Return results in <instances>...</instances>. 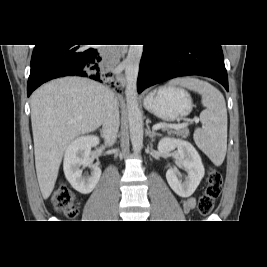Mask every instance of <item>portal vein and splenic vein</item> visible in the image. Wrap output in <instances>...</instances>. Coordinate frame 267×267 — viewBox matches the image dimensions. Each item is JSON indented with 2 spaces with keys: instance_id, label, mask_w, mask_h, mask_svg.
Wrapping results in <instances>:
<instances>
[{
  "instance_id": "1",
  "label": "portal vein and splenic vein",
  "mask_w": 267,
  "mask_h": 267,
  "mask_svg": "<svg viewBox=\"0 0 267 267\" xmlns=\"http://www.w3.org/2000/svg\"><path fill=\"white\" fill-rule=\"evenodd\" d=\"M195 123L199 122L198 118H195L193 120ZM192 122V121H191ZM188 126V122H184V123H180V124H156L153 126L154 130H158V129H164V128H173V129H179V128H185Z\"/></svg>"
}]
</instances>
